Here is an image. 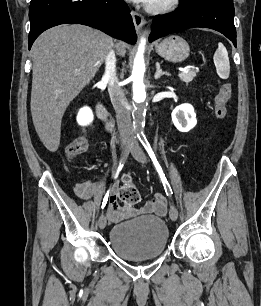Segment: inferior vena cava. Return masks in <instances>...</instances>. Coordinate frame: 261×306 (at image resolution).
I'll return each instance as SVG.
<instances>
[{"instance_id":"602c4592","label":"inferior vena cava","mask_w":261,"mask_h":306,"mask_svg":"<svg viewBox=\"0 0 261 306\" xmlns=\"http://www.w3.org/2000/svg\"><path fill=\"white\" fill-rule=\"evenodd\" d=\"M103 78L108 82V92L116 112L118 130L121 134H128L131 130L130 111L124 90L119 85L116 73V57L113 49H110L105 56V73Z\"/></svg>"}]
</instances>
